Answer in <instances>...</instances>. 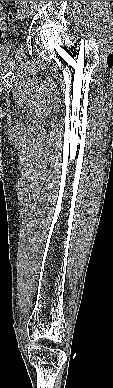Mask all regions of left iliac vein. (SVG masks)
Masks as SVG:
<instances>
[{"mask_svg":"<svg viewBox=\"0 0 113 388\" xmlns=\"http://www.w3.org/2000/svg\"><path fill=\"white\" fill-rule=\"evenodd\" d=\"M17 15L20 20H25L29 17L28 11L22 5L19 6L17 10Z\"/></svg>","mask_w":113,"mask_h":388,"instance_id":"obj_1","label":"left iliac vein"}]
</instances>
